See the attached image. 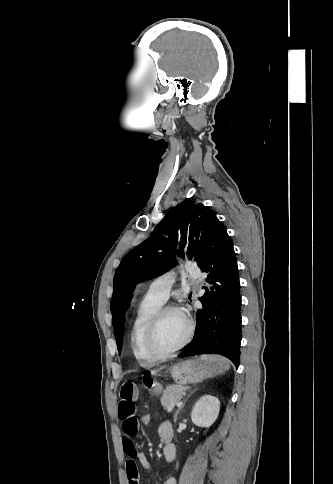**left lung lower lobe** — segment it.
<instances>
[{"instance_id": "obj_1", "label": "left lung lower lobe", "mask_w": 333, "mask_h": 484, "mask_svg": "<svg viewBox=\"0 0 333 484\" xmlns=\"http://www.w3.org/2000/svg\"><path fill=\"white\" fill-rule=\"evenodd\" d=\"M197 264L208 274L203 305L197 311L195 338L179 357L216 353L239 366L241 343V297L233 243L224 225L212 219Z\"/></svg>"}]
</instances>
